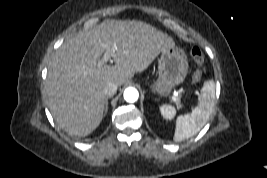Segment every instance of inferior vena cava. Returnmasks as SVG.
I'll use <instances>...</instances> for the list:
<instances>
[{"label":"inferior vena cava","instance_id":"1","mask_svg":"<svg viewBox=\"0 0 267 178\" xmlns=\"http://www.w3.org/2000/svg\"><path fill=\"white\" fill-rule=\"evenodd\" d=\"M117 88L118 86L116 83L108 82L103 88L104 95L107 97L113 96L117 92Z\"/></svg>","mask_w":267,"mask_h":178}]
</instances>
